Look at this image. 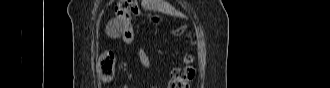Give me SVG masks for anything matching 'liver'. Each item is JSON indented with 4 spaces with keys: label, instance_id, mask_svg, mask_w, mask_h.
Returning <instances> with one entry per match:
<instances>
[{
    "label": "liver",
    "instance_id": "6515ba94",
    "mask_svg": "<svg viewBox=\"0 0 330 88\" xmlns=\"http://www.w3.org/2000/svg\"><path fill=\"white\" fill-rule=\"evenodd\" d=\"M142 6H146V5H149L150 4V1L149 0H142Z\"/></svg>",
    "mask_w": 330,
    "mask_h": 88
}]
</instances>
